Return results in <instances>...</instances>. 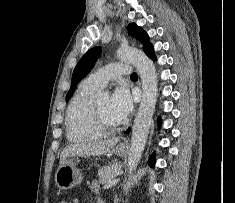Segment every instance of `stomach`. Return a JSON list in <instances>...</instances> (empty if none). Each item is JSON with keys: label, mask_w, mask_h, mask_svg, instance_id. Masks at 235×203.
Here are the masks:
<instances>
[{"label": "stomach", "mask_w": 235, "mask_h": 203, "mask_svg": "<svg viewBox=\"0 0 235 203\" xmlns=\"http://www.w3.org/2000/svg\"><path fill=\"white\" fill-rule=\"evenodd\" d=\"M126 147L123 145L116 146L112 152L118 156H123L126 153ZM79 159H66L61 164L55 174V182L59 189L68 190L80 184L83 180V175L78 167Z\"/></svg>", "instance_id": "1"}]
</instances>
